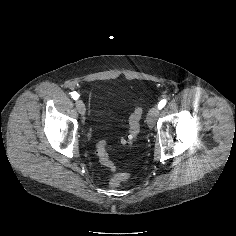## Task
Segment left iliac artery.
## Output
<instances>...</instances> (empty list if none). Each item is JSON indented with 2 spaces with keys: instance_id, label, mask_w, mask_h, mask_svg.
Instances as JSON below:
<instances>
[{
  "instance_id": "44dca946",
  "label": "left iliac artery",
  "mask_w": 236,
  "mask_h": 236,
  "mask_svg": "<svg viewBox=\"0 0 236 236\" xmlns=\"http://www.w3.org/2000/svg\"><path fill=\"white\" fill-rule=\"evenodd\" d=\"M166 102H167L166 99L161 100L158 104V108L162 109L166 105Z\"/></svg>"
}]
</instances>
